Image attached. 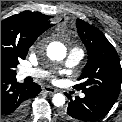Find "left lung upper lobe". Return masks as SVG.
<instances>
[{
  "mask_svg": "<svg viewBox=\"0 0 122 122\" xmlns=\"http://www.w3.org/2000/svg\"><path fill=\"white\" fill-rule=\"evenodd\" d=\"M78 34L87 48L88 60L79 80L74 86L83 93H96L117 99L121 82L122 69L115 48L104 34L96 27L77 19Z\"/></svg>",
  "mask_w": 122,
  "mask_h": 122,
  "instance_id": "left-lung-upper-lobe-1",
  "label": "left lung upper lobe"
}]
</instances>
